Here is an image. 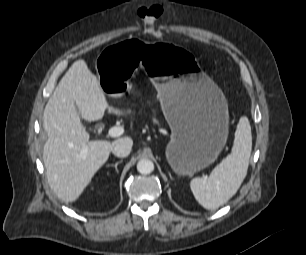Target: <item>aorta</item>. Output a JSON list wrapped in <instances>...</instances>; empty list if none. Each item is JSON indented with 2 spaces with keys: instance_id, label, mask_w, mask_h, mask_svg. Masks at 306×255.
<instances>
[{
  "instance_id": "obj_1",
  "label": "aorta",
  "mask_w": 306,
  "mask_h": 255,
  "mask_svg": "<svg viewBox=\"0 0 306 255\" xmlns=\"http://www.w3.org/2000/svg\"><path fill=\"white\" fill-rule=\"evenodd\" d=\"M137 170L141 174H150L154 170V164L149 159H141L137 163Z\"/></svg>"
}]
</instances>
